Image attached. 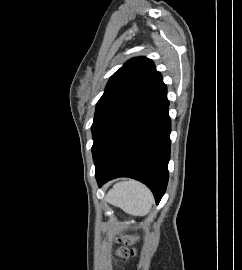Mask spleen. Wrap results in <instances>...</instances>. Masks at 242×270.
I'll list each match as a JSON object with an SVG mask.
<instances>
[{"mask_svg":"<svg viewBox=\"0 0 242 270\" xmlns=\"http://www.w3.org/2000/svg\"><path fill=\"white\" fill-rule=\"evenodd\" d=\"M106 201L133 215L147 214L153 204L151 191L135 180H125L114 185Z\"/></svg>","mask_w":242,"mask_h":270,"instance_id":"spleen-1","label":"spleen"}]
</instances>
